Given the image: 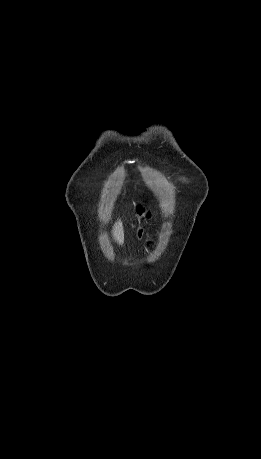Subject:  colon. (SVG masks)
Returning a JSON list of instances; mask_svg holds the SVG:
<instances>
[{"mask_svg": "<svg viewBox=\"0 0 261 459\" xmlns=\"http://www.w3.org/2000/svg\"><path fill=\"white\" fill-rule=\"evenodd\" d=\"M137 211L141 214L144 212V209L142 207H138ZM132 222L134 221L133 219L131 220ZM140 224L143 227H149L151 225V220L149 218H143L140 221ZM141 230V236L143 238H149L151 236V229L150 228H141L138 225H135L134 223H131L129 227H124L123 229V234L124 236H133V234H138Z\"/></svg>", "mask_w": 261, "mask_h": 459, "instance_id": "1", "label": "colon"}]
</instances>
